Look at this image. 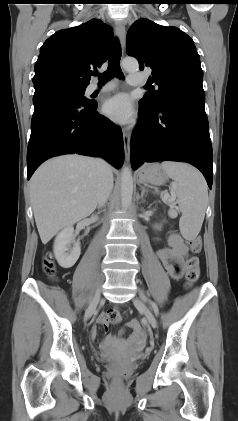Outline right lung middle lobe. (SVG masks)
I'll use <instances>...</instances> for the list:
<instances>
[{
  "instance_id": "1",
  "label": "right lung middle lobe",
  "mask_w": 238,
  "mask_h": 421,
  "mask_svg": "<svg viewBox=\"0 0 238 421\" xmlns=\"http://www.w3.org/2000/svg\"><path fill=\"white\" fill-rule=\"evenodd\" d=\"M49 86H53L56 87L60 90H64L67 92H71L73 94L78 95L83 101L85 102H89L85 97H84V93H85V89L86 87H81V86H74V85H67V84H48Z\"/></svg>"
}]
</instances>
